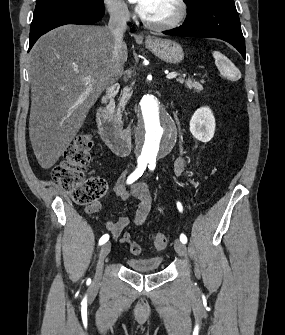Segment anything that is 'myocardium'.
Returning a JSON list of instances; mask_svg holds the SVG:
<instances>
[{"label": "myocardium", "mask_w": 285, "mask_h": 335, "mask_svg": "<svg viewBox=\"0 0 285 335\" xmlns=\"http://www.w3.org/2000/svg\"><path fill=\"white\" fill-rule=\"evenodd\" d=\"M172 3L175 5L177 9V14L173 19L168 20L158 25L143 21L145 27H147L148 29L152 31L161 32V31H167V30H170V29H173L179 26L187 16V13H188L187 4L185 1H172Z\"/></svg>", "instance_id": "obj_1"}]
</instances>
